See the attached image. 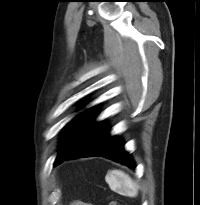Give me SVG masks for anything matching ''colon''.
I'll list each match as a JSON object with an SVG mask.
<instances>
[{"label":"colon","mask_w":200,"mask_h":205,"mask_svg":"<svg viewBox=\"0 0 200 205\" xmlns=\"http://www.w3.org/2000/svg\"><path fill=\"white\" fill-rule=\"evenodd\" d=\"M110 205H119V204H117L116 202H112Z\"/></svg>","instance_id":"5ec220e1"}]
</instances>
